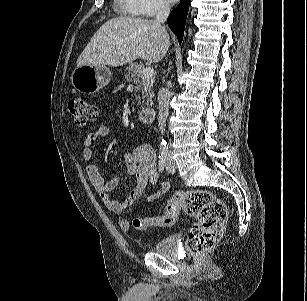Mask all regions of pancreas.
Wrapping results in <instances>:
<instances>
[{
	"label": "pancreas",
	"instance_id": "obj_1",
	"mask_svg": "<svg viewBox=\"0 0 307 301\" xmlns=\"http://www.w3.org/2000/svg\"><path fill=\"white\" fill-rule=\"evenodd\" d=\"M144 68L143 63H130L126 68L125 79L128 82L134 83L137 91L140 92L139 96H136L138 105L143 106L152 103L153 98V84L155 82L154 77L145 78L140 74V71ZM142 101V102H141Z\"/></svg>",
	"mask_w": 307,
	"mask_h": 301
}]
</instances>
